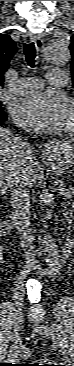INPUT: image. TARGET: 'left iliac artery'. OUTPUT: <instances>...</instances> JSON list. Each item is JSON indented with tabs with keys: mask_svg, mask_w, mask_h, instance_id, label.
Returning a JSON list of instances; mask_svg holds the SVG:
<instances>
[{
	"mask_svg": "<svg viewBox=\"0 0 74 366\" xmlns=\"http://www.w3.org/2000/svg\"><path fill=\"white\" fill-rule=\"evenodd\" d=\"M53 328L56 330V335H57V337H58V339L60 340L59 341V346L60 347H67L66 346V344H65V341H64V339H62V337H61V335H60V333H59V328L57 327V325L56 324H53Z\"/></svg>",
	"mask_w": 74,
	"mask_h": 366,
	"instance_id": "obj_1",
	"label": "left iliac artery"
}]
</instances>
